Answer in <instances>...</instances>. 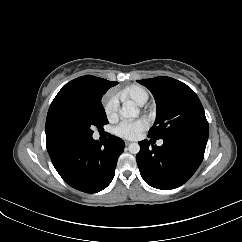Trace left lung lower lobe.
<instances>
[{
    "instance_id": "obj_1",
    "label": "left lung lower lobe",
    "mask_w": 242,
    "mask_h": 242,
    "mask_svg": "<svg viewBox=\"0 0 242 242\" xmlns=\"http://www.w3.org/2000/svg\"><path fill=\"white\" fill-rule=\"evenodd\" d=\"M151 138V137H149ZM136 155L140 174L150 186L170 190L184 184L200 166L207 139L184 137L164 140L162 146L143 140Z\"/></svg>"
}]
</instances>
